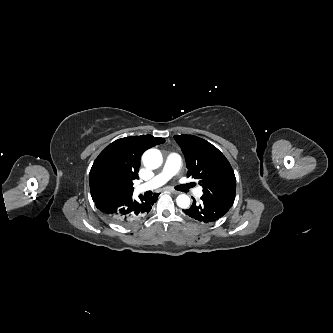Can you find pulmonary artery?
I'll list each match as a JSON object with an SVG mask.
<instances>
[{
	"mask_svg": "<svg viewBox=\"0 0 333 333\" xmlns=\"http://www.w3.org/2000/svg\"><path fill=\"white\" fill-rule=\"evenodd\" d=\"M181 167V157L177 153H171L166 158L162 170L156 174L151 180L136 186V192L142 193L148 190H153L165 184L174 175H176ZM197 197H201L203 192L201 188L195 191Z\"/></svg>",
	"mask_w": 333,
	"mask_h": 333,
	"instance_id": "obj_1",
	"label": "pulmonary artery"
}]
</instances>
